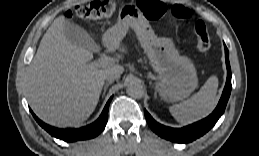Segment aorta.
I'll return each instance as SVG.
<instances>
[{
	"label": "aorta",
	"mask_w": 259,
	"mask_h": 156,
	"mask_svg": "<svg viewBox=\"0 0 259 156\" xmlns=\"http://www.w3.org/2000/svg\"><path fill=\"white\" fill-rule=\"evenodd\" d=\"M127 94L133 98H142L144 96V88L140 81L133 80L127 86Z\"/></svg>",
	"instance_id": "1"
}]
</instances>
